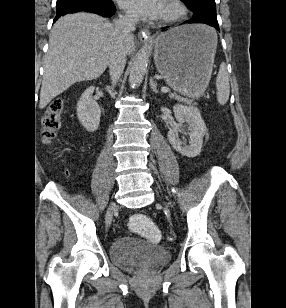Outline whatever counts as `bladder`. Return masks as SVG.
Wrapping results in <instances>:
<instances>
[{"label": "bladder", "instance_id": "obj_1", "mask_svg": "<svg viewBox=\"0 0 286 308\" xmlns=\"http://www.w3.org/2000/svg\"><path fill=\"white\" fill-rule=\"evenodd\" d=\"M143 256L147 257L152 266H158L168 261L171 253L164 247L147 245L132 238H120L111 246L113 262L123 268L136 269Z\"/></svg>", "mask_w": 286, "mask_h": 308}]
</instances>
